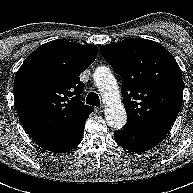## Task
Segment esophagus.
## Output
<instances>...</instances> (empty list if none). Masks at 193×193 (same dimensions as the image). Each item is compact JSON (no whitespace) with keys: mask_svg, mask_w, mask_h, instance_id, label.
<instances>
[{"mask_svg":"<svg viewBox=\"0 0 193 193\" xmlns=\"http://www.w3.org/2000/svg\"><path fill=\"white\" fill-rule=\"evenodd\" d=\"M96 111L101 113V112H103V111H104V107H103V106H101V107H99V108H96Z\"/></svg>","mask_w":193,"mask_h":193,"instance_id":"esophagus-1","label":"esophagus"}]
</instances>
